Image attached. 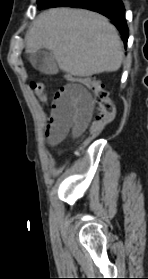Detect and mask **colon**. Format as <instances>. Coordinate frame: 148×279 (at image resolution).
<instances>
[{
    "label": "colon",
    "mask_w": 148,
    "mask_h": 279,
    "mask_svg": "<svg viewBox=\"0 0 148 279\" xmlns=\"http://www.w3.org/2000/svg\"><path fill=\"white\" fill-rule=\"evenodd\" d=\"M69 81L91 90L94 95L97 116L88 132L89 136H94L114 120L116 106L104 84L95 76L71 77ZM30 87L43 101L47 102L52 98L49 90L43 83H31Z\"/></svg>",
    "instance_id": "colon-1"
}]
</instances>
